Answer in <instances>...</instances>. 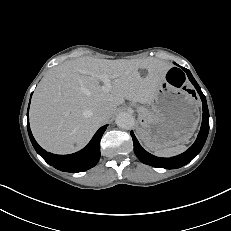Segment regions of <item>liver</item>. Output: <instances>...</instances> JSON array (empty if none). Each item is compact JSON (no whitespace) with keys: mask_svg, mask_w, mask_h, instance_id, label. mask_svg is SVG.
Instances as JSON below:
<instances>
[{"mask_svg":"<svg viewBox=\"0 0 231 231\" xmlns=\"http://www.w3.org/2000/svg\"><path fill=\"white\" fill-rule=\"evenodd\" d=\"M170 65L156 58L106 60L81 57L44 76L32 97L30 126L41 147L55 154L83 148L125 100L150 104ZM147 70L141 76L139 70ZM113 79L110 91L99 76ZM106 110L107 120L98 112Z\"/></svg>","mask_w":231,"mask_h":231,"instance_id":"liver-1","label":"liver"}]
</instances>
